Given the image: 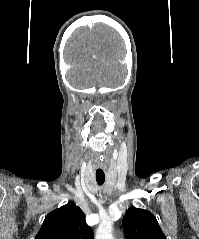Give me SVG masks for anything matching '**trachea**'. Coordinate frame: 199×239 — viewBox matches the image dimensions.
<instances>
[{"instance_id":"3493384b","label":"trachea","mask_w":199,"mask_h":239,"mask_svg":"<svg viewBox=\"0 0 199 239\" xmlns=\"http://www.w3.org/2000/svg\"><path fill=\"white\" fill-rule=\"evenodd\" d=\"M96 181H97L98 185H102L105 181V174L96 173Z\"/></svg>"}]
</instances>
